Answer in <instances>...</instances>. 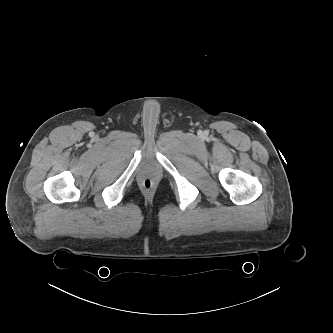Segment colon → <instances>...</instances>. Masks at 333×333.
Here are the masks:
<instances>
[{
  "label": "colon",
  "mask_w": 333,
  "mask_h": 333,
  "mask_svg": "<svg viewBox=\"0 0 333 333\" xmlns=\"http://www.w3.org/2000/svg\"><path fill=\"white\" fill-rule=\"evenodd\" d=\"M142 186L143 188H145L146 190H150L153 187V182L150 179H145L142 182Z\"/></svg>",
  "instance_id": "1"
}]
</instances>
